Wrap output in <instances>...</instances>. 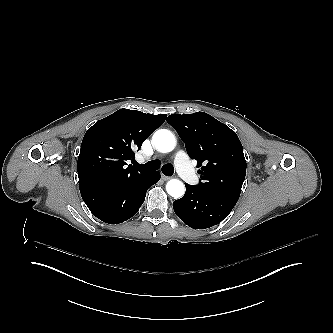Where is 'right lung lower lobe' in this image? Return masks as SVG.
I'll list each match as a JSON object with an SVG mask.
<instances>
[{
  "label": "right lung lower lobe",
  "instance_id": "obj_1",
  "mask_svg": "<svg viewBox=\"0 0 333 333\" xmlns=\"http://www.w3.org/2000/svg\"><path fill=\"white\" fill-rule=\"evenodd\" d=\"M159 179L157 171H141L114 182L97 180L79 183V189L94 216L109 224H119L137 213L147 189Z\"/></svg>",
  "mask_w": 333,
  "mask_h": 333
}]
</instances>
